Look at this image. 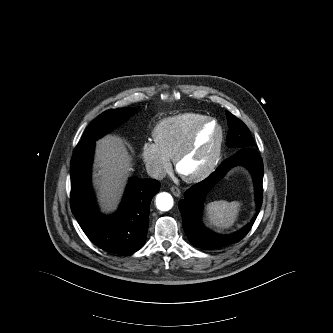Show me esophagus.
Returning a JSON list of instances; mask_svg holds the SVG:
<instances>
[{"instance_id": "esophagus-1", "label": "esophagus", "mask_w": 333, "mask_h": 333, "mask_svg": "<svg viewBox=\"0 0 333 333\" xmlns=\"http://www.w3.org/2000/svg\"><path fill=\"white\" fill-rule=\"evenodd\" d=\"M170 190H171V192L173 193L174 196L180 197L181 191L178 187L173 186V187L170 188Z\"/></svg>"}]
</instances>
